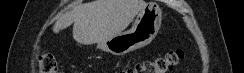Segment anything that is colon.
Here are the masks:
<instances>
[{"label": "colon", "mask_w": 244, "mask_h": 73, "mask_svg": "<svg viewBox=\"0 0 244 73\" xmlns=\"http://www.w3.org/2000/svg\"><path fill=\"white\" fill-rule=\"evenodd\" d=\"M182 58L183 52L180 49L170 50L163 55L125 68L120 73H168ZM38 65L42 73H56L57 71L56 59L51 54H41L38 57Z\"/></svg>", "instance_id": "5ec220e1"}]
</instances>
